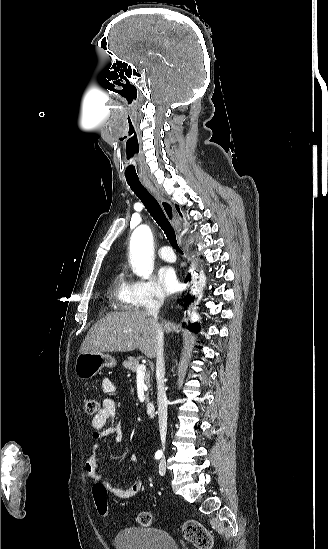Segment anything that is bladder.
I'll list each match as a JSON object with an SVG mask.
<instances>
[{
	"label": "bladder",
	"mask_w": 328,
	"mask_h": 549,
	"mask_svg": "<svg viewBox=\"0 0 328 549\" xmlns=\"http://www.w3.org/2000/svg\"><path fill=\"white\" fill-rule=\"evenodd\" d=\"M117 549H176L171 535L159 529H127L115 536Z\"/></svg>",
	"instance_id": "1"
}]
</instances>
